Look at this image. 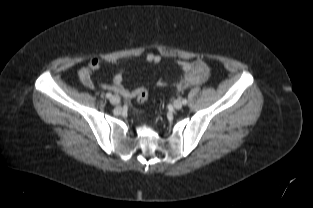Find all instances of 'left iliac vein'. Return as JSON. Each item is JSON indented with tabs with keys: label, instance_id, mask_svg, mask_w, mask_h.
Here are the masks:
<instances>
[{
	"label": "left iliac vein",
	"instance_id": "left-iliac-vein-1",
	"mask_svg": "<svg viewBox=\"0 0 313 208\" xmlns=\"http://www.w3.org/2000/svg\"><path fill=\"white\" fill-rule=\"evenodd\" d=\"M173 106H174L175 109L179 110V109L182 108L183 103H182L181 100L177 99V100L174 101Z\"/></svg>",
	"mask_w": 313,
	"mask_h": 208
}]
</instances>
